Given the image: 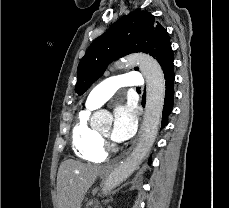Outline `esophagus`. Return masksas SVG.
<instances>
[{"instance_id":"34e87169","label":"esophagus","mask_w":229,"mask_h":208,"mask_svg":"<svg viewBox=\"0 0 229 208\" xmlns=\"http://www.w3.org/2000/svg\"><path fill=\"white\" fill-rule=\"evenodd\" d=\"M141 132H142V126H140V128H139L138 137L140 136ZM135 143H136V141H135V142L132 144V146L129 148V151L132 150V148L134 147ZM117 161H118V160H117ZM117 161H116L115 163H111V164L107 165V167H104L103 170L112 169V168L116 165Z\"/></svg>"}]
</instances>
